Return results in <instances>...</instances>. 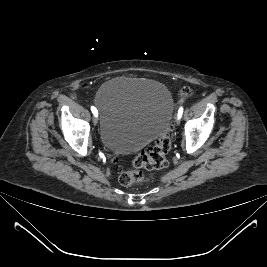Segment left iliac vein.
<instances>
[{
  "label": "left iliac vein",
  "instance_id": "1",
  "mask_svg": "<svg viewBox=\"0 0 267 267\" xmlns=\"http://www.w3.org/2000/svg\"><path fill=\"white\" fill-rule=\"evenodd\" d=\"M176 124L179 125L180 124V118L177 116L176 117Z\"/></svg>",
  "mask_w": 267,
  "mask_h": 267
}]
</instances>
